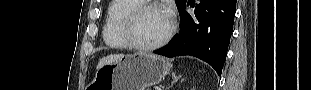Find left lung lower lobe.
<instances>
[{
	"label": "left lung lower lobe",
	"instance_id": "0a47b994",
	"mask_svg": "<svg viewBox=\"0 0 311 90\" xmlns=\"http://www.w3.org/2000/svg\"><path fill=\"white\" fill-rule=\"evenodd\" d=\"M189 4L190 1L179 11L181 29L177 37L154 53L166 57L195 56L221 75L233 30L236 0H200L195 6V16L186 12Z\"/></svg>",
	"mask_w": 311,
	"mask_h": 90
}]
</instances>
